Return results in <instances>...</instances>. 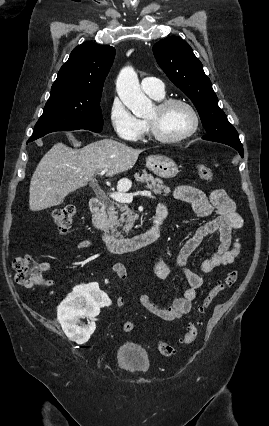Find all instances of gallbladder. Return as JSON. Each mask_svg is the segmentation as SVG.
I'll use <instances>...</instances> for the list:
<instances>
[{
  "label": "gallbladder",
  "instance_id": "gallbladder-1",
  "mask_svg": "<svg viewBox=\"0 0 269 426\" xmlns=\"http://www.w3.org/2000/svg\"><path fill=\"white\" fill-rule=\"evenodd\" d=\"M90 185H91V186H94V185H95V183H94V182H91V183H90Z\"/></svg>",
  "mask_w": 269,
  "mask_h": 426
}]
</instances>
